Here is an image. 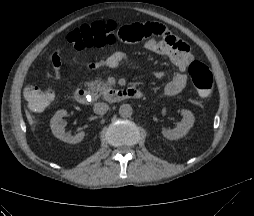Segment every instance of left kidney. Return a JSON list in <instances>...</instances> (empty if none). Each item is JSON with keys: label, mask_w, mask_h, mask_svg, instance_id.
<instances>
[{"label": "left kidney", "mask_w": 254, "mask_h": 216, "mask_svg": "<svg viewBox=\"0 0 254 216\" xmlns=\"http://www.w3.org/2000/svg\"><path fill=\"white\" fill-rule=\"evenodd\" d=\"M183 119L174 129L163 130L162 134L169 140H177L185 136L194 124L195 118L191 111L182 109Z\"/></svg>", "instance_id": "obj_1"}]
</instances>
